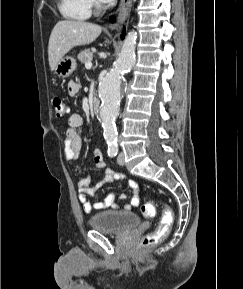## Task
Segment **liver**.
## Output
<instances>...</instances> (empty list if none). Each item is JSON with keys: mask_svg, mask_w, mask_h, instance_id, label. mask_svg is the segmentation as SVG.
Here are the masks:
<instances>
[{"mask_svg": "<svg viewBox=\"0 0 243 289\" xmlns=\"http://www.w3.org/2000/svg\"><path fill=\"white\" fill-rule=\"evenodd\" d=\"M99 25L75 20L59 21L53 28L48 44L50 69L74 47L92 43L101 33Z\"/></svg>", "mask_w": 243, "mask_h": 289, "instance_id": "liver-1", "label": "liver"}]
</instances>
